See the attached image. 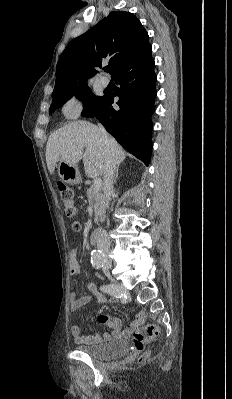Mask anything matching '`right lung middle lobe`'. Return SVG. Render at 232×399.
Here are the masks:
<instances>
[{
	"label": "right lung middle lobe",
	"mask_w": 232,
	"mask_h": 399,
	"mask_svg": "<svg viewBox=\"0 0 232 399\" xmlns=\"http://www.w3.org/2000/svg\"><path fill=\"white\" fill-rule=\"evenodd\" d=\"M80 89L84 90L85 93L78 95V97L84 102L83 113L94 111L103 99V96H95L90 92L88 87L75 88L69 92L52 95L54 98L50 106L49 113L55 111L56 108H60L67 100L74 96Z\"/></svg>",
	"instance_id": "right-lung-middle-lobe-1"
}]
</instances>
